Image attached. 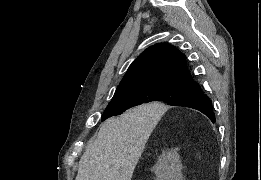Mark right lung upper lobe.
<instances>
[{
  "label": "right lung upper lobe",
  "instance_id": "cb5924a9",
  "mask_svg": "<svg viewBox=\"0 0 261 180\" xmlns=\"http://www.w3.org/2000/svg\"><path fill=\"white\" fill-rule=\"evenodd\" d=\"M175 80L194 82L186 57L175 46L159 43L147 48L134 60L117 89Z\"/></svg>",
  "mask_w": 261,
  "mask_h": 180
}]
</instances>
